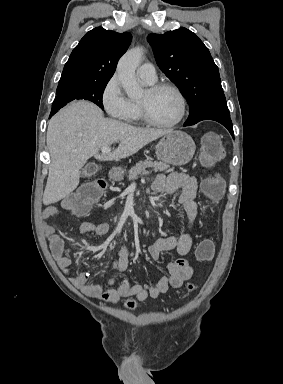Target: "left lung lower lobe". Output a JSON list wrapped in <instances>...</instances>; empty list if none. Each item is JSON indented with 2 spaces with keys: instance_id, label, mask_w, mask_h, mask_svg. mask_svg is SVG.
Instances as JSON below:
<instances>
[{
  "instance_id": "1",
  "label": "left lung lower lobe",
  "mask_w": 283,
  "mask_h": 384,
  "mask_svg": "<svg viewBox=\"0 0 283 384\" xmlns=\"http://www.w3.org/2000/svg\"><path fill=\"white\" fill-rule=\"evenodd\" d=\"M210 120L217 121V122L221 123L222 125H224L228 129V131L230 132L232 137H234L233 126H232V122H231L230 118H212ZM184 126H189V125L184 124Z\"/></svg>"
}]
</instances>
